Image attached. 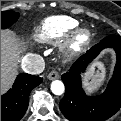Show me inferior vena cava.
Instances as JSON below:
<instances>
[{"mask_svg": "<svg viewBox=\"0 0 121 121\" xmlns=\"http://www.w3.org/2000/svg\"><path fill=\"white\" fill-rule=\"evenodd\" d=\"M21 68L28 74L37 75L44 71L45 61L42 56L38 54H32L26 59L22 60Z\"/></svg>", "mask_w": 121, "mask_h": 121, "instance_id": "1", "label": "inferior vena cava"}]
</instances>
